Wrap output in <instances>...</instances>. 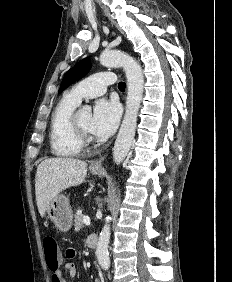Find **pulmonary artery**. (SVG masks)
I'll use <instances>...</instances> for the list:
<instances>
[{
    "label": "pulmonary artery",
    "mask_w": 232,
    "mask_h": 282,
    "mask_svg": "<svg viewBox=\"0 0 232 282\" xmlns=\"http://www.w3.org/2000/svg\"><path fill=\"white\" fill-rule=\"evenodd\" d=\"M115 81L116 77L113 72H98L76 84L68 94L80 102L83 98H92L104 94L107 87L114 84Z\"/></svg>",
    "instance_id": "pulmonary-artery-1"
}]
</instances>
